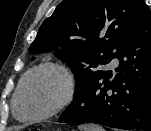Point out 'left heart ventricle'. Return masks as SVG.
<instances>
[{
	"instance_id": "obj_1",
	"label": "left heart ventricle",
	"mask_w": 151,
	"mask_h": 131,
	"mask_svg": "<svg viewBox=\"0 0 151 131\" xmlns=\"http://www.w3.org/2000/svg\"><path fill=\"white\" fill-rule=\"evenodd\" d=\"M64 91L61 76L53 71L35 74L27 82L18 103L21 116L44 113L54 107Z\"/></svg>"
}]
</instances>
